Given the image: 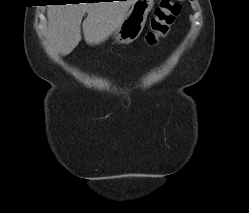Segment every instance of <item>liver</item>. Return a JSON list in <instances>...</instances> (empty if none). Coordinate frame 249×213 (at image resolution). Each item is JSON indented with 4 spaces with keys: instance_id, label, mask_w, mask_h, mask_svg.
<instances>
[{
    "instance_id": "1",
    "label": "liver",
    "mask_w": 249,
    "mask_h": 213,
    "mask_svg": "<svg viewBox=\"0 0 249 213\" xmlns=\"http://www.w3.org/2000/svg\"><path fill=\"white\" fill-rule=\"evenodd\" d=\"M135 0L49 5L48 36L51 46L62 56L70 54L81 41V22L85 42L98 45L121 24Z\"/></svg>"
}]
</instances>
